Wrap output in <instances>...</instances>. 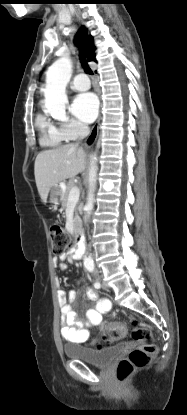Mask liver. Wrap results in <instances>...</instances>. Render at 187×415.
I'll return each mask as SVG.
<instances>
[{
    "label": "liver",
    "instance_id": "obj_1",
    "mask_svg": "<svg viewBox=\"0 0 187 415\" xmlns=\"http://www.w3.org/2000/svg\"><path fill=\"white\" fill-rule=\"evenodd\" d=\"M86 153L76 144H67L39 153L35 159L34 175L42 202H47L50 189L65 179L82 173Z\"/></svg>",
    "mask_w": 187,
    "mask_h": 415
}]
</instances>
